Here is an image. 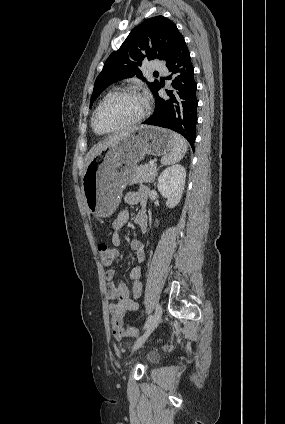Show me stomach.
<instances>
[{"label":"stomach","instance_id":"1","mask_svg":"<svg viewBox=\"0 0 285 424\" xmlns=\"http://www.w3.org/2000/svg\"><path fill=\"white\" fill-rule=\"evenodd\" d=\"M173 132L140 126L96 155L82 176V193L89 212L98 218L111 216L137 164L146 154L160 156L173 148Z\"/></svg>","mask_w":285,"mask_h":424}]
</instances>
